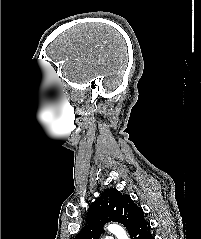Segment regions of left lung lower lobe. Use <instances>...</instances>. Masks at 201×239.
Wrapping results in <instances>:
<instances>
[{"mask_svg":"<svg viewBox=\"0 0 201 239\" xmlns=\"http://www.w3.org/2000/svg\"><path fill=\"white\" fill-rule=\"evenodd\" d=\"M150 223L144 222L138 226L130 235L131 239H154L150 232Z\"/></svg>","mask_w":201,"mask_h":239,"instance_id":"1","label":"left lung lower lobe"}]
</instances>
